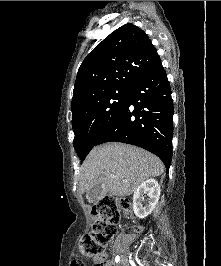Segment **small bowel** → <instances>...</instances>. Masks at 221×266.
<instances>
[{"instance_id": "1", "label": "small bowel", "mask_w": 221, "mask_h": 266, "mask_svg": "<svg viewBox=\"0 0 221 266\" xmlns=\"http://www.w3.org/2000/svg\"><path fill=\"white\" fill-rule=\"evenodd\" d=\"M74 257H81V252H74ZM95 262H101L104 266H114L112 261H106V254L101 253L99 256L94 258ZM71 266H84L82 258H71Z\"/></svg>"}]
</instances>
